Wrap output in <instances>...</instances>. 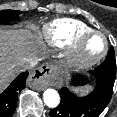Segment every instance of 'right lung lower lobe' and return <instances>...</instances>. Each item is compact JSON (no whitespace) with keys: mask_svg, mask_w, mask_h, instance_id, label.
<instances>
[{"mask_svg":"<svg viewBox=\"0 0 117 117\" xmlns=\"http://www.w3.org/2000/svg\"><path fill=\"white\" fill-rule=\"evenodd\" d=\"M28 72L21 73L8 86V88L0 94V117H11L15 112L17 105V95L26 86Z\"/></svg>","mask_w":117,"mask_h":117,"instance_id":"right-lung-lower-lobe-1","label":"right lung lower lobe"}]
</instances>
